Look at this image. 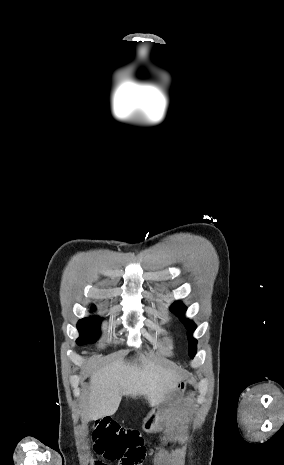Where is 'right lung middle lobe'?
Segmentation results:
<instances>
[{
	"label": "right lung middle lobe",
	"instance_id": "dd1d6c3e",
	"mask_svg": "<svg viewBox=\"0 0 284 465\" xmlns=\"http://www.w3.org/2000/svg\"><path fill=\"white\" fill-rule=\"evenodd\" d=\"M77 328L80 333V337L76 341L78 345L94 343L100 334L99 319L95 317L80 320Z\"/></svg>",
	"mask_w": 284,
	"mask_h": 465
}]
</instances>
